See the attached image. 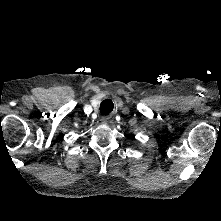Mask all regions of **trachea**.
Segmentation results:
<instances>
[{"label": "trachea", "instance_id": "obj_1", "mask_svg": "<svg viewBox=\"0 0 221 221\" xmlns=\"http://www.w3.org/2000/svg\"><path fill=\"white\" fill-rule=\"evenodd\" d=\"M113 110V102L111 100H105L101 103L100 112L101 115H108Z\"/></svg>", "mask_w": 221, "mask_h": 221}]
</instances>
